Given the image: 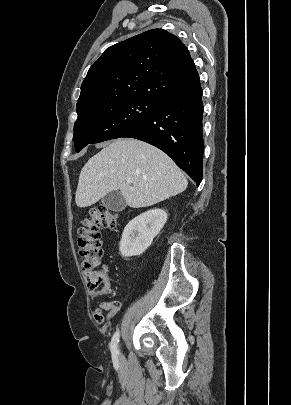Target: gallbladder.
Instances as JSON below:
<instances>
[{"mask_svg": "<svg viewBox=\"0 0 291 405\" xmlns=\"http://www.w3.org/2000/svg\"><path fill=\"white\" fill-rule=\"evenodd\" d=\"M103 205L114 212H119L125 209L126 202L120 191H111L102 199Z\"/></svg>", "mask_w": 291, "mask_h": 405, "instance_id": "bac80fb5", "label": "gallbladder"}]
</instances>
